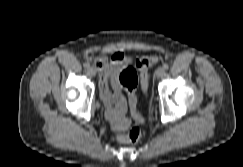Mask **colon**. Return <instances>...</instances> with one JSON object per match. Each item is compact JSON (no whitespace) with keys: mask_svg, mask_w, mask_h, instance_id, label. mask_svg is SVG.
Segmentation results:
<instances>
[{"mask_svg":"<svg viewBox=\"0 0 243 167\" xmlns=\"http://www.w3.org/2000/svg\"><path fill=\"white\" fill-rule=\"evenodd\" d=\"M158 62V56L150 55L141 57L136 60V68L139 71L141 88L144 92L148 90V69ZM138 73L132 67L124 68L120 75L119 81L128 94L131 106L136 105V88L138 85ZM138 121H142L140 115H136ZM118 131L117 140L121 143H136L141 138V131L137 126L131 125L130 120L124 118L116 127Z\"/></svg>","mask_w":243,"mask_h":167,"instance_id":"1","label":"colon"}]
</instances>
